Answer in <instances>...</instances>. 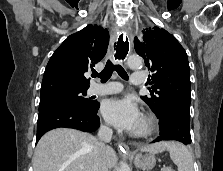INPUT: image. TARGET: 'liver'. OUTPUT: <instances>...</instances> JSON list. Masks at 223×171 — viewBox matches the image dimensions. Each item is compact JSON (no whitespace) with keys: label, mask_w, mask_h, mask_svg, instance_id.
<instances>
[{"label":"liver","mask_w":223,"mask_h":171,"mask_svg":"<svg viewBox=\"0 0 223 171\" xmlns=\"http://www.w3.org/2000/svg\"><path fill=\"white\" fill-rule=\"evenodd\" d=\"M97 139L92 135L69 128H57L47 132L38 142L34 157L33 171H92ZM166 143H155L141 150L151 154L161 153ZM107 168L117 163L113 148L105 150Z\"/></svg>","instance_id":"liver-1"}]
</instances>
